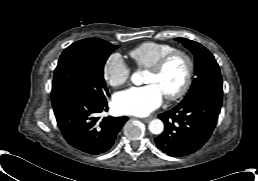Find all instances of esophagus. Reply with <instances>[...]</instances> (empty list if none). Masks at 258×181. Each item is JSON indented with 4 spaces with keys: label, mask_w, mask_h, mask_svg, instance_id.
Returning a JSON list of instances; mask_svg holds the SVG:
<instances>
[{
    "label": "esophagus",
    "mask_w": 258,
    "mask_h": 181,
    "mask_svg": "<svg viewBox=\"0 0 258 181\" xmlns=\"http://www.w3.org/2000/svg\"><path fill=\"white\" fill-rule=\"evenodd\" d=\"M153 117H147V118H143L142 121L145 123H148L152 120Z\"/></svg>",
    "instance_id": "1"
}]
</instances>
